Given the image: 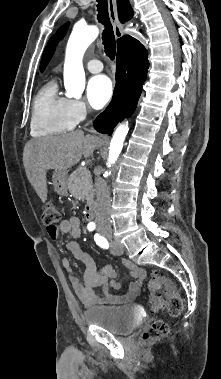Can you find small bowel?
<instances>
[{
  "label": "small bowel",
  "instance_id": "1",
  "mask_svg": "<svg viewBox=\"0 0 221 379\" xmlns=\"http://www.w3.org/2000/svg\"><path fill=\"white\" fill-rule=\"evenodd\" d=\"M47 232L54 240L60 234L67 233H70L74 238L73 241L66 245V249L84 264L83 279L80 280L71 266L68 257H63L62 265L67 272L74 292L85 307L101 304H125L133 301L139 294L143 281L146 278V271L129 260H123V264L130 270V276L134 278V281L130 283L128 292L123 296H117L111 292V288L120 289L121 287L120 283L116 280L117 273L109 264L98 269L94 259L81 249L76 241L81 235L80 220L77 217L71 216L68 219L62 220L53 231L47 229ZM99 290L104 294L103 297L99 295Z\"/></svg>",
  "mask_w": 221,
  "mask_h": 379
}]
</instances>
